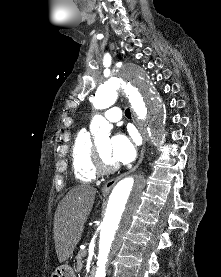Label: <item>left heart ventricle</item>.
Returning a JSON list of instances; mask_svg holds the SVG:
<instances>
[{
  "instance_id": "b2bd125f",
  "label": "left heart ventricle",
  "mask_w": 221,
  "mask_h": 277,
  "mask_svg": "<svg viewBox=\"0 0 221 277\" xmlns=\"http://www.w3.org/2000/svg\"><path fill=\"white\" fill-rule=\"evenodd\" d=\"M109 144L110 141L108 139L101 140L97 143L105 163L114 164L116 162L110 156Z\"/></svg>"
}]
</instances>
